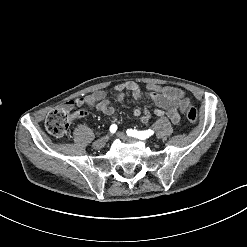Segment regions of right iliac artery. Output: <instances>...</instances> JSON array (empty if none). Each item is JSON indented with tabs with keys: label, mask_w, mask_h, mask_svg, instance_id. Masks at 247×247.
Returning a JSON list of instances; mask_svg holds the SVG:
<instances>
[{
	"label": "right iliac artery",
	"mask_w": 247,
	"mask_h": 247,
	"mask_svg": "<svg viewBox=\"0 0 247 247\" xmlns=\"http://www.w3.org/2000/svg\"><path fill=\"white\" fill-rule=\"evenodd\" d=\"M116 130H117V125H116V124H112V125L110 126V132H111V133H115Z\"/></svg>",
	"instance_id": "right-iliac-artery-1"
}]
</instances>
